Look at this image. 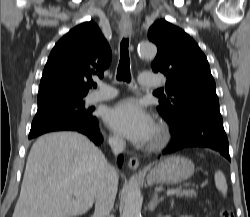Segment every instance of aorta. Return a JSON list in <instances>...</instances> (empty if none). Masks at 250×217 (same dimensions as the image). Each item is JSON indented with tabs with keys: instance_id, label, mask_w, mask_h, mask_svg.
Segmentation results:
<instances>
[{
	"instance_id": "obj_1",
	"label": "aorta",
	"mask_w": 250,
	"mask_h": 217,
	"mask_svg": "<svg viewBox=\"0 0 250 217\" xmlns=\"http://www.w3.org/2000/svg\"><path fill=\"white\" fill-rule=\"evenodd\" d=\"M141 57L154 58L157 48L152 43H142L138 48ZM142 196L138 183H133L127 193L122 217H141Z\"/></svg>"
}]
</instances>
